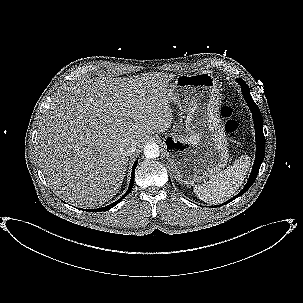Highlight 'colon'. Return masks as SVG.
Returning a JSON list of instances; mask_svg holds the SVG:
<instances>
[{
    "label": "colon",
    "instance_id": "obj_1",
    "mask_svg": "<svg viewBox=\"0 0 303 303\" xmlns=\"http://www.w3.org/2000/svg\"><path fill=\"white\" fill-rule=\"evenodd\" d=\"M232 108L229 105H224L221 108V115L225 118V132L229 139L233 140L236 138L238 133V122L232 118Z\"/></svg>",
    "mask_w": 303,
    "mask_h": 303
}]
</instances>
